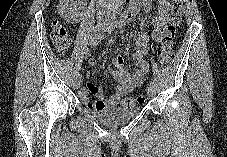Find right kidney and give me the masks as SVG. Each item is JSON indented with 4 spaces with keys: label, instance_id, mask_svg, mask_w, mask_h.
Wrapping results in <instances>:
<instances>
[{
    "label": "right kidney",
    "instance_id": "1",
    "mask_svg": "<svg viewBox=\"0 0 227 157\" xmlns=\"http://www.w3.org/2000/svg\"><path fill=\"white\" fill-rule=\"evenodd\" d=\"M69 0H62L58 6V13L60 14L63 19L68 22H75L78 21L79 15L74 11L72 4H69Z\"/></svg>",
    "mask_w": 227,
    "mask_h": 157
}]
</instances>
